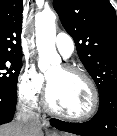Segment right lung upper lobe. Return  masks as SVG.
I'll use <instances>...</instances> for the list:
<instances>
[{
	"label": "right lung upper lobe",
	"instance_id": "1",
	"mask_svg": "<svg viewBox=\"0 0 117 136\" xmlns=\"http://www.w3.org/2000/svg\"><path fill=\"white\" fill-rule=\"evenodd\" d=\"M22 0H0V56L22 57Z\"/></svg>",
	"mask_w": 117,
	"mask_h": 136
}]
</instances>
